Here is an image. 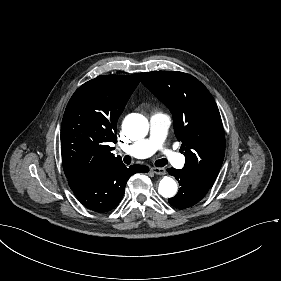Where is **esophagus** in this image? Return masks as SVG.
<instances>
[{
    "label": "esophagus",
    "instance_id": "1",
    "mask_svg": "<svg viewBox=\"0 0 281 281\" xmlns=\"http://www.w3.org/2000/svg\"><path fill=\"white\" fill-rule=\"evenodd\" d=\"M154 174L157 175H165L166 174V169L165 168H156V167H152L150 169Z\"/></svg>",
    "mask_w": 281,
    "mask_h": 281
}]
</instances>
